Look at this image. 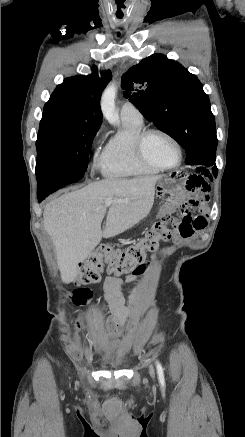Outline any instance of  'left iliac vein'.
Returning <instances> with one entry per match:
<instances>
[{
	"mask_svg": "<svg viewBox=\"0 0 245 437\" xmlns=\"http://www.w3.org/2000/svg\"><path fill=\"white\" fill-rule=\"evenodd\" d=\"M149 374L153 379L155 378V370L152 365L149 366Z\"/></svg>",
	"mask_w": 245,
	"mask_h": 437,
	"instance_id": "1",
	"label": "left iliac vein"
}]
</instances>
